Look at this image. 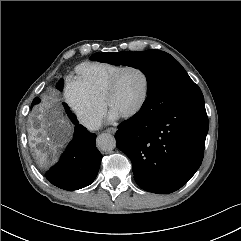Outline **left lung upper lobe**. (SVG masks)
Listing matches in <instances>:
<instances>
[{"label":"left lung upper lobe","instance_id":"5c2ea615","mask_svg":"<svg viewBox=\"0 0 241 241\" xmlns=\"http://www.w3.org/2000/svg\"><path fill=\"white\" fill-rule=\"evenodd\" d=\"M90 59L140 69L148 81L147 97L161 91L169 106L204 101L203 94L185 69L170 54L160 50L95 53Z\"/></svg>","mask_w":241,"mask_h":241}]
</instances>
